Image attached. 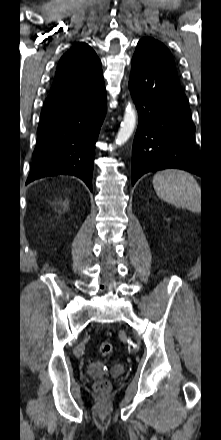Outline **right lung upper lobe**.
I'll return each instance as SVG.
<instances>
[{
  "label": "right lung upper lobe",
  "mask_w": 221,
  "mask_h": 440,
  "mask_svg": "<svg viewBox=\"0 0 221 440\" xmlns=\"http://www.w3.org/2000/svg\"><path fill=\"white\" fill-rule=\"evenodd\" d=\"M103 81L101 62L86 43H78L60 59L51 92L93 87Z\"/></svg>",
  "instance_id": "cb5924a9"
}]
</instances>
